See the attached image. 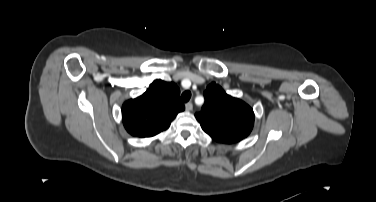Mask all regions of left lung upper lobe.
I'll use <instances>...</instances> for the list:
<instances>
[{
	"mask_svg": "<svg viewBox=\"0 0 376 202\" xmlns=\"http://www.w3.org/2000/svg\"><path fill=\"white\" fill-rule=\"evenodd\" d=\"M205 104L195 116L202 129L218 142L232 144L247 137L254 125V112L244 101L233 98L216 83L204 92Z\"/></svg>",
	"mask_w": 376,
	"mask_h": 202,
	"instance_id": "1",
	"label": "left lung upper lobe"
}]
</instances>
